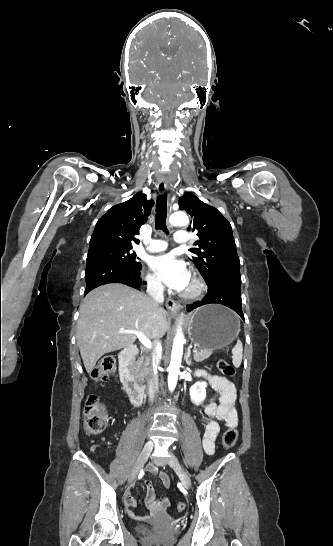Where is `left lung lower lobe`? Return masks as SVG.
Listing matches in <instances>:
<instances>
[{
	"label": "left lung lower lobe",
	"mask_w": 333,
	"mask_h": 546,
	"mask_svg": "<svg viewBox=\"0 0 333 546\" xmlns=\"http://www.w3.org/2000/svg\"><path fill=\"white\" fill-rule=\"evenodd\" d=\"M208 285V293L201 301L187 306L191 311L206 304H222L235 312L244 320L241 299V277L240 272L233 271L214 277Z\"/></svg>",
	"instance_id": "0a47b994"
}]
</instances>
